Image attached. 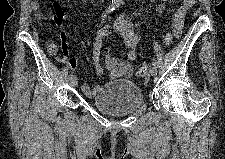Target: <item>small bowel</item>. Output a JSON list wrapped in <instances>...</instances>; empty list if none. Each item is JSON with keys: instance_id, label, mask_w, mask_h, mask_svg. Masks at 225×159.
<instances>
[{"instance_id": "obj_1", "label": "small bowel", "mask_w": 225, "mask_h": 159, "mask_svg": "<svg viewBox=\"0 0 225 159\" xmlns=\"http://www.w3.org/2000/svg\"><path fill=\"white\" fill-rule=\"evenodd\" d=\"M192 4L193 2L191 0H184L179 8L175 11L173 19V32L176 36H179L181 34L186 13L192 6ZM30 6L32 11L35 13L37 22L42 25L44 22V14L41 11L39 1L32 0L30 2ZM159 12L162 14L166 13V6L164 4H161L159 6ZM114 29L120 36L124 46L126 47V51L124 53L126 60L113 57L111 53L105 48L104 39L111 35V29L107 26L103 27L98 30L95 42L92 46L95 72L97 75H101L103 73L101 56L102 54H104L105 66L109 72L110 79L114 80L131 78L134 75V66L132 64V61L136 60L137 58V47L139 45L140 37L133 30L125 14H121L117 19L114 25ZM60 39L61 48L64 55L63 58L67 61L68 65L73 70H77L79 68V65L77 61L70 55L65 32H61ZM46 48L52 56L57 57L59 60L63 59L61 57H58V46L55 43L48 41L46 43ZM98 88L99 87H95L92 89L88 85H83L82 91L87 97H92L94 96Z\"/></svg>"}]
</instances>
